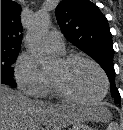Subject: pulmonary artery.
<instances>
[{
    "label": "pulmonary artery",
    "instance_id": "pulmonary-artery-1",
    "mask_svg": "<svg viewBox=\"0 0 123 130\" xmlns=\"http://www.w3.org/2000/svg\"><path fill=\"white\" fill-rule=\"evenodd\" d=\"M47 42L49 46L57 52L63 53L65 51V44L63 36L59 31H51L48 34Z\"/></svg>",
    "mask_w": 123,
    "mask_h": 130
}]
</instances>
